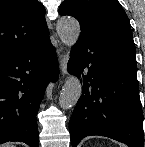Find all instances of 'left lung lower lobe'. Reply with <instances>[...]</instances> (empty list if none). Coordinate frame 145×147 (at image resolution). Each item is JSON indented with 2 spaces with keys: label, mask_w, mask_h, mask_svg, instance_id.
<instances>
[{
  "label": "left lung lower lobe",
  "mask_w": 145,
  "mask_h": 147,
  "mask_svg": "<svg viewBox=\"0 0 145 147\" xmlns=\"http://www.w3.org/2000/svg\"><path fill=\"white\" fill-rule=\"evenodd\" d=\"M68 71L83 83L69 121L72 147L91 135L144 147L133 38L81 33L71 51Z\"/></svg>",
  "instance_id": "obj_1"
}]
</instances>
